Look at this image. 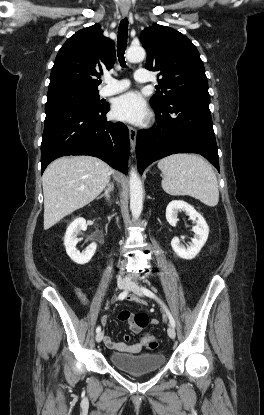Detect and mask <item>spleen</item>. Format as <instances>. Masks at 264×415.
I'll list each match as a JSON object with an SVG mask.
<instances>
[{
  "label": "spleen",
  "instance_id": "3e777b00",
  "mask_svg": "<svg viewBox=\"0 0 264 415\" xmlns=\"http://www.w3.org/2000/svg\"><path fill=\"white\" fill-rule=\"evenodd\" d=\"M162 171V188L170 195H188L208 206H216L219 189L212 167L200 156L174 154L158 163Z\"/></svg>",
  "mask_w": 264,
  "mask_h": 415
}]
</instances>
